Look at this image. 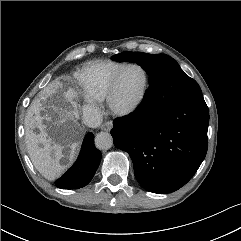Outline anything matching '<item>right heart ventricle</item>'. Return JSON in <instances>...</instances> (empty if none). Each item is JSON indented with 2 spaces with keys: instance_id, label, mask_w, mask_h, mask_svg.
<instances>
[{
  "instance_id": "e07e8e85",
  "label": "right heart ventricle",
  "mask_w": 241,
  "mask_h": 241,
  "mask_svg": "<svg viewBox=\"0 0 241 241\" xmlns=\"http://www.w3.org/2000/svg\"><path fill=\"white\" fill-rule=\"evenodd\" d=\"M124 64L114 61H95L84 65L79 70L77 78L86 97L95 101L104 100L112 77Z\"/></svg>"
}]
</instances>
